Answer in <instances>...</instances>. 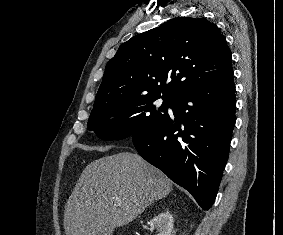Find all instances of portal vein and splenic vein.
<instances>
[{
  "mask_svg": "<svg viewBox=\"0 0 283 235\" xmlns=\"http://www.w3.org/2000/svg\"><path fill=\"white\" fill-rule=\"evenodd\" d=\"M119 202H120V200L116 198L115 199V203H119Z\"/></svg>",
  "mask_w": 283,
  "mask_h": 235,
  "instance_id": "portal-vein-and-splenic-vein-1",
  "label": "portal vein and splenic vein"
}]
</instances>
